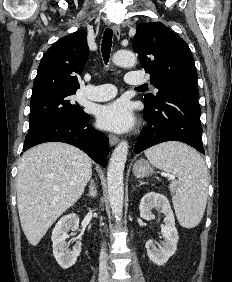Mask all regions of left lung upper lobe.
Masks as SVG:
<instances>
[{"label":"left lung upper lobe","mask_w":232,"mask_h":282,"mask_svg":"<svg viewBox=\"0 0 232 282\" xmlns=\"http://www.w3.org/2000/svg\"><path fill=\"white\" fill-rule=\"evenodd\" d=\"M133 49L150 82L159 91L146 94L143 102L158 105L169 92L198 93L197 72L186 42L160 22L137 26Z\"/></svg>","instance_id":"5c2ea615"}]
</instances>
